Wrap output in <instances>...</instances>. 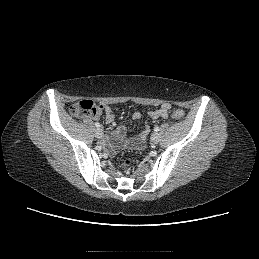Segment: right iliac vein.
Segmentation results:
<instances>
[{
    "instance_id": "1",
    "label": "right iliac vein",
    "mask_w": 259,
    "mask_h": 259,
    "mask_svg": "<svg viewBox=\"0 0 259 259\" xmlns=\"http://www.w3.org/2000/svg\"><path fill=\"white\" fill-rule=\"evenodd\" d=\"M95 136H96L97 138H102V136H103V131H102L101 128H98V129L95 130Z\"/></svg>"
}]
</instances>
